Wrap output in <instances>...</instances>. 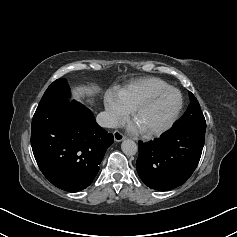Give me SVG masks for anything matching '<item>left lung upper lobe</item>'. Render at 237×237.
Segmentation results:
<instances>
[{
    "label": "left lung upper lobe",
    "instance_id": "left-lung-upper-lobe-1",
    "mask_svg": "<svg viewBox=\"0 0 237 237\" xmlns=\"http://www.w3.org/2000/svg\"><path fill=\"white\" fill-rule=\"evenodd\" d=\"M191 103L184 115L175 123L173 128L200 127L206 128V121L195 96L189 92Z\"/></svg>",
    "mask_w": 237,
    "mask_h": 237
}]
</instances>
